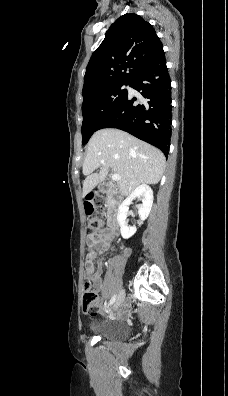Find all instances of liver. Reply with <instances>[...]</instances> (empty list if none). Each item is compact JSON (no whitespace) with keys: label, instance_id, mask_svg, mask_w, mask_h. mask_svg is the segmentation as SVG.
Wrapping results in <instances>:
<instances>
[{"label":"liver","instance_id":"liver-1","mask_svg":"<svg viewBox=\"0 0 228 396\" xmlns=\"http://www.w3.org/2000/svg\"><path fill=\"white\" fill-rule=\"evenodd\" d=\"M104 162V164H102ZM100 167L99 173L93 171ZM119 174V190L124 196L141 184H157L165 169V156L150 144L118 129H101L89 140L83 163V196L108 175Z\"/></svg>","mask_w":228,"mask_h":396}]
</instances>
